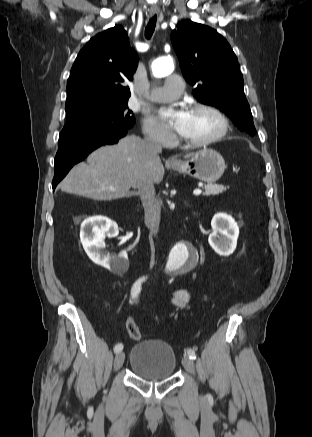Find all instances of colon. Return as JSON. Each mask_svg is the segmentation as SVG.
<instances>
[{
	"mask_svg": "<svg viewBox=\"0 0 312 437\" xmlns=\"http://www.w3.org/2000/svg\"><path fill=\"white\" fill-rule=\"evenodd\" d=\"M126 329L132 339L139 340L141 338V332L132 318L126 321Z\"/></svg>",
	"mask_w": 312,
	"mask_h": 437,
	"instance_id": "5ec220e1",
	"label": "colon"
}]
</instances>
